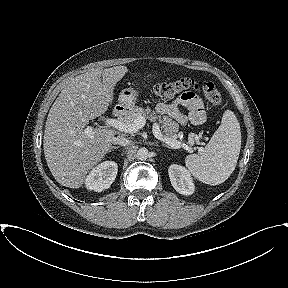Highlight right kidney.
I'll return each instance as SVG.
<instances>
[{
  "label": "right kidney",
  "instance_id": "right-kidney-1",
  "mask_svg": "<svg viewBox=\"0 0 288 288\" xmlns=\"http://www.w3.org/2000/svg\"><path fill=\"white\" fill-rule=\"evenodd\" d=\"M118 166L114 161H105L93 168L85 180L87 189L101 192L114 182Z\"/></svg>",
  "mask_w": 288,
  "mask_h": 288
}]
</instances>
